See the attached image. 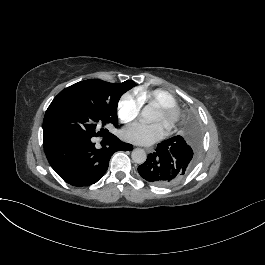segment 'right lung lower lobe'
<instances>
[{
	"mask_svg": "<svg viewBox=\"0 0 265 265\" xmlns=\"http://www.w3.org/2000/svg\"><path fill=\"white\" fill-rule=\"evenodd\" d=\"M109 147L95 148L91 138H68L44 146L46 157L55 172L73 186L96 183L107 171L113 153L131 151L133 146L109 133L103 136Z\"/></svg>",
	"mask_w": 265,
	"mask_h": 265,
	"instance_id": "obj_1",
	"label": "right lung lower lobe"
}]
</instances>
